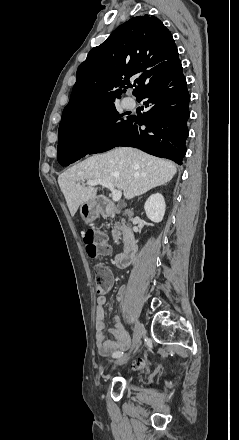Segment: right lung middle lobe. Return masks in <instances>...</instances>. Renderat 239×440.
Masks as SVG:
<instances>
[{
    "label": "right lung middle lobe",
    "mask_w": 239,
    "mask_h": 440,
    "mask_svg": "<svg viewBox=\"0 0 239 440\" xmlns=\"http://www.w3.org/2000/svg\"><path fill=\"white\" fill-rule=\"evenodd\" d=\"M114 101L115 100L101 109L60 123L58 130V150L62 147L79 144L91 145L125 123L126 121L122 119L119 125H115V121L125 114L119 115L115 109Z\"/></svg>",
    "instance_id": "obj_1"
}]
</instances>
